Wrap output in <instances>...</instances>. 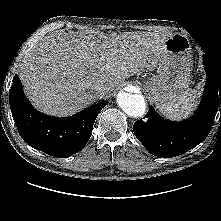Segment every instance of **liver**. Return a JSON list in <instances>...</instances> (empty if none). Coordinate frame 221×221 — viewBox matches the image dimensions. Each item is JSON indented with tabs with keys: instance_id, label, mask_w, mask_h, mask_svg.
Returning <instances> with one entry per match:
<instances>
[{
	"instance_id": "1",
	"label": "liver",
	"mask_w": 221,
	"mask_h": 221,
	"mask_svg": "<svg viewBox=\"0 0 221 221\" xmlns=\"http://www.w3.org/2000/svg\"><path fill=\"white\" fill-rule=\"evenodd\" d=\"M168 37L152 32L84 36H46L24 56L19 77L38 110L53 116L73 115L104 98L140 71H153L165 55ZM105 84L97 97L93 88Z\"/></svg>"
}]
</instances>
